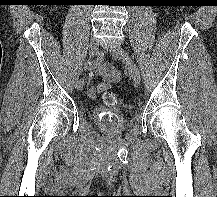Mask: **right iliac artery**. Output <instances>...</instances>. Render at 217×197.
<instances>
[{
  "mask_svg": "<svg viewBox=\"0 0 217 197\" xmlns=\"http://www.w3.org/2000/svg\"><path fill=\"white\" fill-rule=\"evenodd\" d=\"M99 61H100V56H98L94 61L86 62L84 65V69L89 70L91 68L96 67L98 65Z\"/></svg>",
  "mask_w": 217,
  "mask_h": 197,
  "instance_id": "right-iliac-artery-1",
  "label": "right iliac artery"
}]
</instances>
